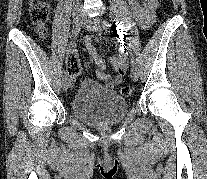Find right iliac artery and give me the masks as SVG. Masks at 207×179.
Wrapping results in <instances>:
<instances>
[{
	"mask_svg": "<svg viewBox=\"0 0 207 179\" xmlns=\"http://www.w3.org/2000/svg\"><path fill=\"white\" fill-rule=\"evenodd\" d=\"M80 31V25H76V26H73L71 32H70V38L71 39H74L77 37L78 33ZM66 77V72L64 71L63 72V78Z\"/></svg>",
	"mask_w": 207,
	"mask_h": 179,
	"instance_id": "82829eb1",
	"label": "right iliac artery"
}]
</instances>
